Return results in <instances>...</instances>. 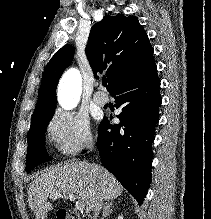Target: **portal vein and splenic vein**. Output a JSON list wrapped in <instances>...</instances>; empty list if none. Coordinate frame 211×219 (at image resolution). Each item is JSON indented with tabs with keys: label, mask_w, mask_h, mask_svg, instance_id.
Here are the masks:
<instances>
[{
	"label": "portal vein and splenic vein",
	"mask_w": 211,
	"mask_h": 219,
	"mask_svg": "<svg viewBox=\"0 0 211 219\" xmlns=\"http://www.w3.org/2000/svg\"><path fill=\"white\" fill-rule=\"evenodd\" d=\"M63 197L69 199L70 201H75L76 200V196L73 195V194H69L68 196L66 194H58V193L50 195L51 199H57V198H63ZM75 208L77 210H83L84 206L81 204V202L76 201Z\"/></svg>",
	"instance_id": "obj_1"
}]
</instances>
